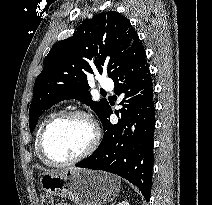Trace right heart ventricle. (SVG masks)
Segmentation results:
<instances>
[{"label": "right heart ventricle", "instance_id": "e07e8e85", "mask_svg": "<svg viewBox=\"0 0 212 205\" xmlns=\"http://www.w3.org/2000/svg\"><path fill=\"white\" fill-rule=\"evenodd\" d=\"M54 115H55L54 113L50 114V115L42 122V124H41V126H40V128H39V130H38V133H37V136H36V143H35L36 150H37L38 152H39V150H38V136H39V133H40L42 127L44 126V124H45L52 116H54ZM39 155H40V153H39ZM40 158H41L44 162H46V161L42 158L41 155H40ZM46 163H47V162H46Z\"/></svg>", "mask_w": 212, "mask_h": 205}]
</instances>
